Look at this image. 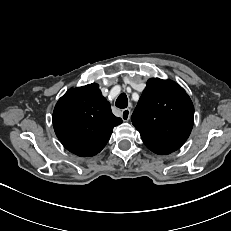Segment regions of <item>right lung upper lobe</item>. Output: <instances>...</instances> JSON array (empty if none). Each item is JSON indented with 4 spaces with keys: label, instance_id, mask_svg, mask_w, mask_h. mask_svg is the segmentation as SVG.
<instances>
[{
    "label": "right lung upper lobe",
    "instance_id": "right-lung-upper-lobe-1",
    "mask_svg": "<svg viewBox=\"0 0 231 231\" xmlns=\"http://www.w3.org/2000/svg\"><path fill=\"white\" fill-rule=\"evenodd\" d=\"M52 121L63 146L80 157L99 153L122 123L96 83L68 90L57 102Z\"/></svg>",
    "mask_w": 231,
    "mask_h": 231
}]
</instances>
